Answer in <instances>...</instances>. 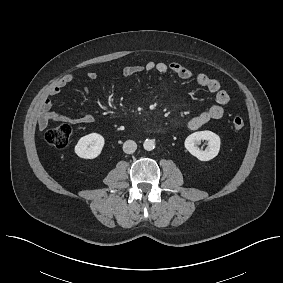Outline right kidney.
<instances>
[{"label": "right kidney", "instance_id": "obj_1", "mask_svg": "<svg viewBox=\"0 0 283 283\" xmlns=\"http://www.w3.org/2000/svg\"><path fill=\"white\" fill-rule=\"evenodd\" d=\"M104 137L98 133H90L81 137L75 146V153L83 159H94L102 151Z\"/></svg>", "mask_w": 283, "mask_h": 283}]
</instances>
